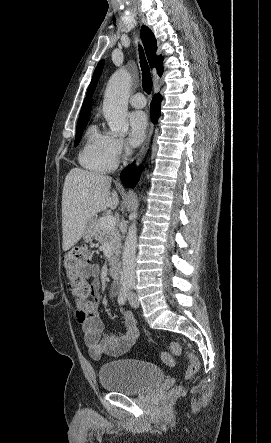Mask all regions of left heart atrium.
<instances>
[{"label":"left heart atrium","mask_w":271,"mask_h":443,"mask_svg":"<svg viewBox=\"0 0 271 443\" xmlns=\"http://www.w3.org/2000/svg\"><path fill=\"white\" fill-rule=\"evenodd\" d=\"M130 139L133 145H140L146 138L149 130V121L143 111H133L128 116Z\"/></svg>","instance_id":"obj_1"}]
</instances>
